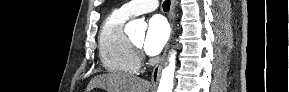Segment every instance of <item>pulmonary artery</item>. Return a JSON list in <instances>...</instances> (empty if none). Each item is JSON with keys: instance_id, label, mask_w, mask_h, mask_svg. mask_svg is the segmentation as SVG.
Wrapping results in <instances>:
<instances>
[{"instance_id": "e3ab8cb5", "label": "pulmonary artery", "mask_w": 289, "mask_h": 92, "mask_svg": "<svg viewBox=\"0 0 289 92\" xmlns=\"http://www.w3.org/2000/svg\"><path fill=\"white\" fill-rule=\"evenodd\" d=\"M157 0H134L124 4L119 11L127 17L139 15L156 10Z\"/></svg>"}]
</instances>
